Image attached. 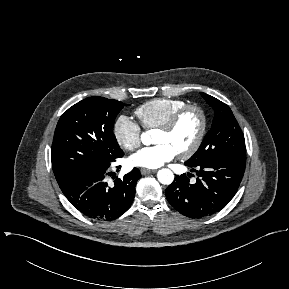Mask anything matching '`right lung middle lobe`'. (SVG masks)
<instances>
[{"label": "right lung middle lobe", "mask_w": 289, "mask_h": 289, "mask_svg": "<svg viewBox=\"0 0 289 289\" xmlns=\"http://www.w3.org/2000/svg\"><path fill=\"white\" fill-rule=\"evenodd\" d=\"M126 104L104 97H89L60 117L55 129L51 159L59 185L71 176L108 166L123 155L112 132Z\"/></svg>", "instance_id": "right-lung-middle-lobe-1"}]
</instances>
